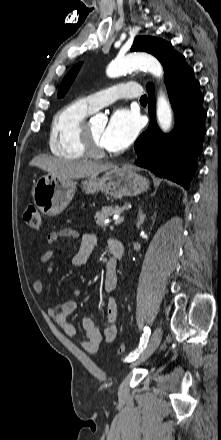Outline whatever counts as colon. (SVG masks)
Segmentation results:
<instances>
[{"instance_id":"colon-1","label":"colon","mask_w":221,"mask_h":440,"mask_svg":"<svg viewBox=\"0 0 221 440\" xmlns=\"http://www.w3.org/2000/svg\"><path fill=\"white\" fill-rule=\"evenodd\" d=\"M24 219L27 225L34 229L40 230L42 226L41 214L37 207L29 206L24 214ZM126 350V346L124 344H120L118 347V353L123 354Z\"/></svg>"}]
</instances>
